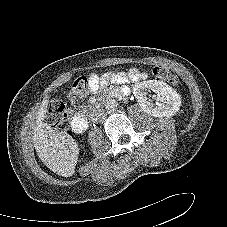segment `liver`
<instances>
[{
  "instance_id": "obj_1",
  "label": "liver",
  "mask_w": 227,
  "mask_h": 227,
  "mask_svg": "<svg viewBox=\"0 0 227 227\" xmlns=\"http://www.w3.org/2000/svg\"><path fill=\"white\" fill-rule=\"evenodd\" d=\"M49 100L43 99L35 116L33 142L41 161L54 173L69 177L75 172L79 149L74 139L43 122Z\"/></svg>"
}]
</instances>
